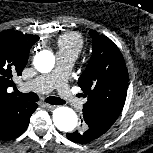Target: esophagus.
Instances as JSON below:
<instances>
[{
  "label": "esophagus",
  "instance_id": "1",
  "mask_svg": "<svg viewBox=\"0 0 153 153\" xmlns=\"http://www.w3.org/2000/svg\"><path fill=\"white\" fill-rule=\"evenodd\" d=\"M43 107H45L48 110H53L56 106L51 104H41Z\"/></svg>",
  "mask_w": 153,
  "mask_h": 153
}]
</instances>
